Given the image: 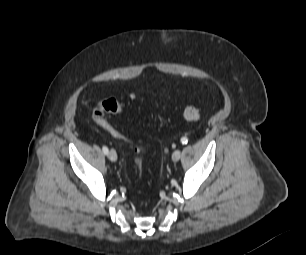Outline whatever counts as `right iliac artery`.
I'll return each instance as SVG.
<instances>
[{"label":"right iliac artery","instance_id":"82829eb1","mask_svg":"<svg viewBox=\"0 0 306 255\" xmlns=\"http://www.w3.org/2000/svg\"><path fill=\"white\" fill-rule=\"evenodd\" d=\"M102 150H103V153L106 154V155L109 153V150L106 146H103Z\"/></svg>","mask_w":306,"mask_h":255}]
</instances>
